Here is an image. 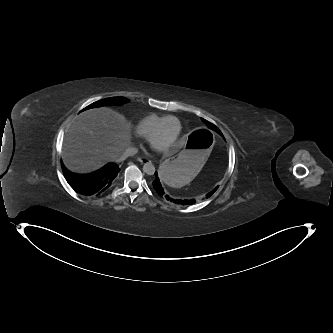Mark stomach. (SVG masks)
<instances>
[{
	"mask_svg": "<svg viewBox=\"0 0 333 333\" xmlns=\"http://www.w3.org/2000/svg\"><path fill=\"white\" fill-rule=\"evenodd\" d=\"M215 144L213 132L197 128L193 136L179 147L177 154L159 168L161 181L172 187H181L194 179Z\"/></svg>",
	"mask_w": 333,
	"mask_h": 333,
	"instance_id": "0dacf381",
	"label": "stomach"
}]
</instances>
